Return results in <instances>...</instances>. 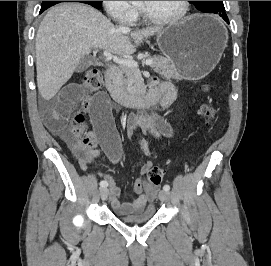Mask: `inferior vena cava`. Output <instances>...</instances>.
<instances>
[{
	"instance_id": "obj_1",
	"label": "inferior vena cava",
	"mask_w": 271,
	"mask_h": 266,
	"mask_svg": "<svg viewBox=\"0 0 271 266\" xmlns=\"http://www.w3.org/2000/svg\"><path fill=\"white\" fill-rule=\"evenodd\" d=\"M118 29H120L121 31H128L129 30V28L127 26H124V25H119Z\"/></svg>"
}]
</instances>
